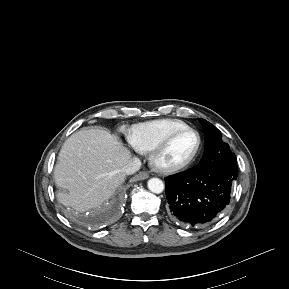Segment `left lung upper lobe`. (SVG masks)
I'll list each match as a JSON object with an SVG mask.
<instances>
[{
	"mask_svg": "<svg viewBox=\"0 0 289 289\" xmlns=\"http://www.w3.org/2000/svg\"><path fill=\"white\" fill-rule=\"evenodd\" d=\"M205 132L204 155L197 166L213 167L218 165H236L235 154L227 143L222 141L221 132L211 123L199 119Z\"/></svg>",
	"mask_w": 289,
	"mask_h": 289,
	"instance_id": "5c2ea615",
	"label": "left lung upper lobe"
}]
</instances>
